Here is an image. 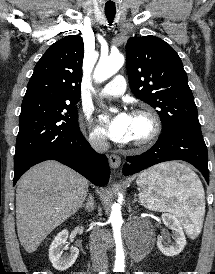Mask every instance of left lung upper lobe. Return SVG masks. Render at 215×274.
Returning a JSON list of instances; mask_svg holds the SVG:
<instances>
[{
  "label": "left lung upper lobe",
  "mask_w": 215,
  "mask_h": 274,
  "mask_svg": "<svg viewBox=\"0 0 215 274\" xmlns=\"http://www.w3.org/2000/svg\"><path fill=\"white\" fill-rule=\"evenodd\" d=\"M127 73L135 96L157 109L162 132H201L187 74L176 51L155 36L131 37L126 44Z\"/></svg>",
  "instance_id": "left-lung-upper-lobe-1"
}]
</instances>
